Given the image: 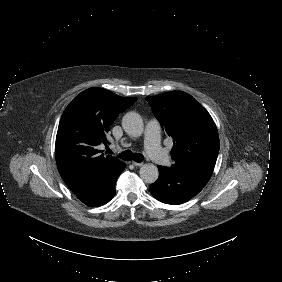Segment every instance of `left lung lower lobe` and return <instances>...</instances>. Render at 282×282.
Masks as SVG:
<instances>
[{"label":"left lung lower lobe","instance_id":"obj_1","mask_svg":"<svg viewBox=\"0 0 282 282\" xmlns=\"http://www.w3.org/2000/svg\"><path fill=\"white\" fill-rule=\"evenodd\" d=\"M159 178L150 185L157 200L171 205L187 202L199 193L209 181L213 169L206 166H158Z\"/></svg>","mask_w":282,"mask_h":282}]
</instances>
